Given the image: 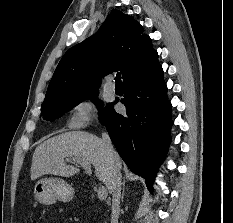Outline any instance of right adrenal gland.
Listing matches in <instances>:
<instances>
[{
  "label": "right adrenal gland",
  "mask_w": 233,
  "mask_h": 223,
  "mask_svg": "<svg viewBox=\"0 0 233 223\" xmlns=\"http://www.w3.org/2000/svg\"><path fill=\"white\" fill-rule=\"evenodd\" d=\"M124 193H125V181L123 183V189H122V193H121V199H122V201L124 199Z\"/></svg>",
  "instance_id": "1"
}]
</instances>
